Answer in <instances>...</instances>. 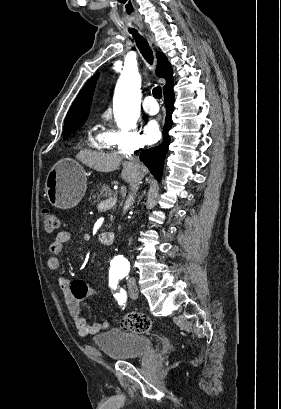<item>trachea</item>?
Returning <instances> with one entry per match:
<instances>
[{
    "mask_svg": "<svg viewBox=\"0 0 281 409\" xmlns=\"http://www.w3.org/2000/svg\"><path fill=\"white\" fill-rule=\"evenodd\" d=\"M131 35L133 36L136 45L138 49L140 50L142 56L145 58V60L150 64L153 65V53L151 48L148 45L147 40L142 37L138 32H130ZM153 97H155L157 100H160L162 98V90L161 87L158 85L157 87H154L152 90Z\"/></svg>",
    "mask_w": 281,
    "mask_h": 409,
    "instance_id": "obj_1",
    "label": "trachea"
}]
</instances>
